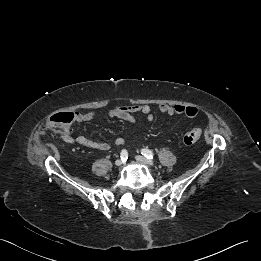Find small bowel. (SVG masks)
Segmentation results:
<instances>
[{"mask_svg":"<svg viewBox=\"0 0 261 261\" xmlns=\"http://www.w3.org/2000/svg\"><path fill=\"white\" fill-rule=\"evenodd\" d=\"M159 110L162 114L172 116V115H184L188 118H195L198 114V110L194 106H185V105H167L162 104L159 107ZM140 113L146 121L151 122L154 119L153 113L149 105H126L117 107L109 110L106 113V116L109 118H118L129 122L131 124H137V120L135 118V114ZM75 123H85L90 122L94 119V112H74ZM61 138L68 143H78L82 146L105 151L109 149V144L103 141L93 140L86 136L80 135L74 137L71 132V127L67 126L61 131ZM125 139L122 137H118L114 140V145L123 146L125 144Z\"/></svg>","mask_w":261,"mask_h":261,"instance_id":"1","label":"small bowel"}]
</instances>
